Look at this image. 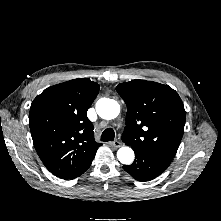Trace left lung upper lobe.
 Returning a JSON list of instances; mask_svg holds the SVG:
<instances>
[{"mask_svg": "<svg viewBox=\"0 0 221 221\" xmlns=\"http://www.w3.org/2000/svg\"><path fill=\"white\" fill-rule=\"evenodd\" d=\"M127 105L125 144L173 159L183 137L186 112L179 95L167 85L132 80L116 88Z\"/></svg>", "mask_w": 221, "mask_h": 221, "instance_id": "obj_1", "label": "left lung upper lobe"}]
</instances>
